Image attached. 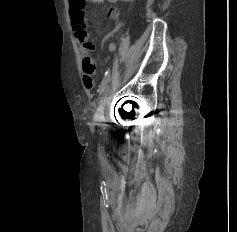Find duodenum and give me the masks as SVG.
<instances>
[{
	"label": "duodenum",
	"mask_w": 237,
	"mask_h": 232,
	"mask_svg": "<svg viewBox=\"0 0 237 232\" xmlns=\"http://www.w3.org/2000/svg\"><path fill=\"white\" fill-rule=\"evenodd\" d=\"M110 2H116L117 0H109Z\"/></svg>",
	"instance_id": "duodenum-1"
}]
</instances>
